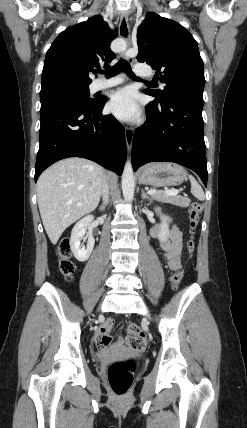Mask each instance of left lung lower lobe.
<instances>
[{
	"label": "left lung lower lobe",
	"mask_w": 247,
	"mask_h": 428,
	"mask_svg": "<svg viewBox=\"0 0 247 428\" xmlns=\"http://www.w3.org/2000/svg\"><path fill=\"white\" fill-rule=\"evenodd\" d=\"M203 103L176 97L146 106L147 125L136 129L132 145L134 170L149 162H175L196 172L207 186Z\"/></svg>",
	"instance_id": "obj_1"
}]
</instances>
